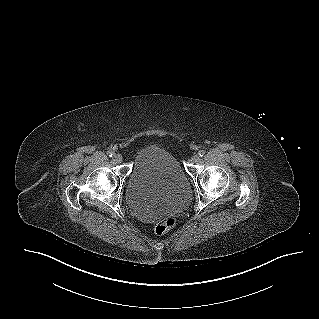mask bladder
<instances>
[{"instance_id":"obj_1","label":"bladder","mask_w":319,"mask_h":319,"mask_svg":"<svg viewBox=\"0 0 319 319\" xmlns=\"http://www.w3.org/2000/svg\"><path fill=\"white\" fill-rule=\"evenodd\" d=\"M190 197V179L172 153L155 145L140 151L126 183V200L136 215L156 219L184 207Z\"/></svg>"}]
</instances>
